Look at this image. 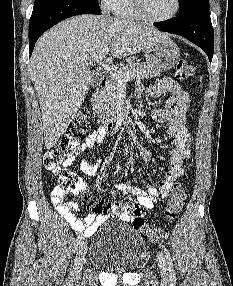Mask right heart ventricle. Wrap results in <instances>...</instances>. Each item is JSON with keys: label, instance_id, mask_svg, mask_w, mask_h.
Instances as JSON below:
<instances>
[{"label": "right heart ventricle", "instance_id": "obj_1", "mask_svg": "<svg viewBox=\"0 0 233 286\" xmlns=\"http://www.w3.org/2000/svg\"><path fill=\"white\" fill-rule=\"evenodd\" d=\"M110 11L121 18L140 20L142 19L134 10L130 0H113Z\"/></svg>", "mask_w": 233, "mask_h": 286}]
</instances>
